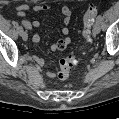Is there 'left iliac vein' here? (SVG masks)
Masks as SVG:
<instances>
[{
	"label": "left iliac vein",
	"instance_id": "left-iliac-vein-1",
	"mask_svg": "<svg viewBox=\"0 0 119 119\" xmlns=\"http://www.w3.org/2000/svg\"><path fill=\"white\" fill-rule=\"evenodd\" d=\"M100 32V22L96 21L93 26V34L96 35Z\"/></svg>",
	"mask_w": 119,
	"mask_h": 119
}]
</instances>
